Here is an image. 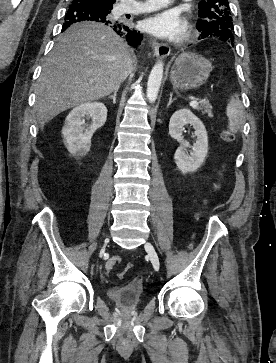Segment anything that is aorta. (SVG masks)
Instances as JSON below:
<instances>
[{"instance_id":"obj_1","label":"aorta","mask_w":276,"mask_h":363,"mask_svg":"<svg viewBox=\"0 0 276 363\" xmlns=\"http://www.w3.org/2000/svg\"><path fill=\"white\" fill-rule=\"evenodd\" d=\"M163 62H157L152 68L147 83V99L154 103L157 99L163 78Z\"/></svg>"}]
</instances>
